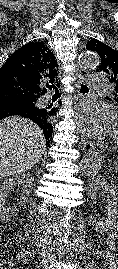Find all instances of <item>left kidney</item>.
<instances>
[{"instance_id": "left-kidney-1", "label": "left kidney", "mask_w": 118, "mask_h": 269, "mask_svg": "<svg viewBox=\"0 0 118 269\" xmlns=\"http://www.w3.org/2000/svg\"><path fill=\"white\" fill-rule=\"evenodd\" d=\"M99 190L107 193V215L106 218L91 217L90 221L95 230L105 232L112 228L118 219V187L109 184L104 177L98 176L90 186L89 196L95 199Z\"/></svg>"}]
</instances>
